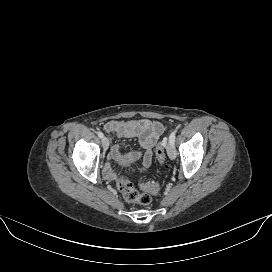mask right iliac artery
Masks as SVG:
<instances>
[{"instance_id":"obj_1","label":"right iliac artery","mask_w":272,"mask_h":272,"mask_svg":"<svg viewBox=\"0 0 272 272\" xmlns=\"http://www.w3.org/2000/svg\"><path fill=\"white\" fill-rule=\"evenodd\" d=\"M98 136L100 137V138H103V133L102 132H98Z\"/></svg>"}]
</instances>
